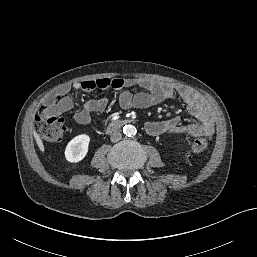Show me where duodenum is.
Here are the masks:
<instances>
[{"label": "duodenum", "mask_w": 257, "mask_h": 257, "mask_svg": "<svg viewBox=\"0 0 257 257\" xmlns=\"http://www.w3.org/2000/svg\"><path fill=\"white\" fill-rule=\"evenodd\" d=\"M132 122V120H123V119H117V120H112L110 121L107 126H106V130L108 132H113L116 131L120 128H122L124 125L128 124Z\"/></svg>", "instance_id": "410a0bca"}]
</instances>
